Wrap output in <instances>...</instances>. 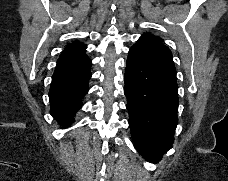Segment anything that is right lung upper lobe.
I'll list each match as a JSON object with an SVG mask.
<instances>
[{"label":"right lung upper lobe","instance_id":"cb5924a9","mask_svg":"<svg viewBox=\"0 0 228 181\" xmlns=\"http://www.w3.org/2000/svg\"><path fill=\"white\" fill-rule=\"evenodd\" d=\"M84 46L85 45L80 43V42H74L72 44L67 45V47L65 48V50L62 52L61 55L68 54V53L73 52V51H75V50H77L79 48H82Z\"/></svg>","mask_w":228,"mask_h":181}]
</instances>
